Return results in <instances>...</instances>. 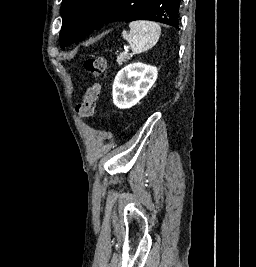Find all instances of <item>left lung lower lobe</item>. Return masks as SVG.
<instances>
[{"label":"left lung lower lobe","mask_w":256,"mask_h":267,"mask_svg":"<svg viewBox=\"0 0 256 267\" xmlns=\"http://www.w3.org/2000/svg\"><path fill=\"white\" fill-rule=\"evenodd\" d=\"M180 1L181 0H175V4H176V25H178V26L180 25L179 24V15H178Z\"/></svg>","instance_id":"left-lung-lower-lobe-1"}]
</instances>
